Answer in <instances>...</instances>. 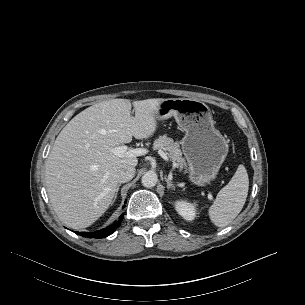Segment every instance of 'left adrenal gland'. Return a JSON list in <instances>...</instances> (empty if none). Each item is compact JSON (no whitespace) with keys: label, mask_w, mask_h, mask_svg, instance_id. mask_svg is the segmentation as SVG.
<instances>
[{"label":"left adrenal gland","mask_w":305,"mask_h":305,"mask_svg":"<svg viewBox=\"0 0 305 305\" xmlns=\"http://www.w3.org/2000/svg\"><path fill=\"white\" fill-rule=\"evenodd\" d=\"M165 181L167 182V189H172V190H175V186L174 184L172 183L171 180H169L168 178L165 177Z\"/></svg>","instance_id":"left-adrenal-gland-1"}]
</instances>
